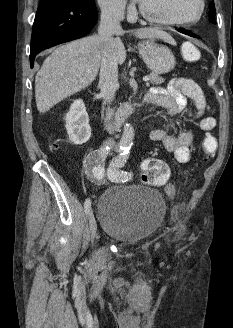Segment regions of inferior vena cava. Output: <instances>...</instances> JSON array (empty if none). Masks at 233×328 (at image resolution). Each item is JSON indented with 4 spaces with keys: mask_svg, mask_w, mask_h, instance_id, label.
Returning <instances> with one entry per match:
<instances>
[{
    "mask_svg": "<svg viewBox=\"0 0 233 328\" xmlns=\"http://www.w3.org/2000/svg\"><path fill=\"white\" fill-rule=\"evenodd\" d=\"M124 3L120 1H112L102 6L101 20L98 34L105 48L102 52L100 64L99 87L101 95L110 104L115 97L118 89V63L112 53L111 45L113 43V35L122 31L120 21L124 18ZM114 140L108 138L104 146H113Z\"/></svg>",
    "mask_w": 233,
    "mask_h": 328,
    "instance_id": "obj_1",
    "label": "inferior vena cava"
}]
</instances>
